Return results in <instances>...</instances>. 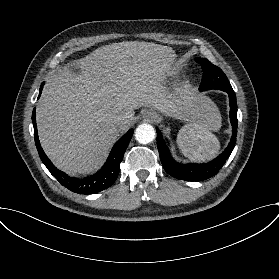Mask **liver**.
I'll list each match as a JSON object with an SVG mask.
<instances>
[{"label": "liver", "mask_w": 279, "mask_h": 279, "mask_svg": "<svg viewBox=\"0 0 279 279\" xmlns=\"http://www.w3.org/2000/svg\"><path fill=\"white\" fill-rule=\"evenodd\" d=\"M175 52L147 42L115 43L78 61L80 73L56 77L37 106V127L46 154L68 173L97 167L119 134L133 120L134 110L156 108L190 124L200 120L204 97L185 88L182 99H169L161 87L173 71ZM129 122L117 128L114 118ZM110 121V122H109Z\"/></svg>", "instance_id": "6515ba94"}]
</instances>
